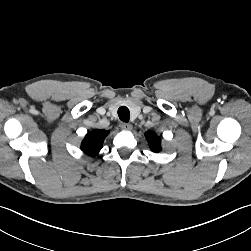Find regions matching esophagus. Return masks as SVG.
Returning a JSON list of instances; mask_svg holds the SVG:
<instances>
[{"instance_id":"34e87169","label":"esophagus","mask_w":251,"mask_h":251,"mask_svg":"<svg viewBox=\"0 0 251 251\" xmlns=\"http://www.w3.org/2000/svg\"><path fill=\"white\" fill-rule=\"evenodd\" d=\"M120 127L123 130H131L132 129V125L129 123H125V122L120 123Z\"/></svg>"}]
</instances>
